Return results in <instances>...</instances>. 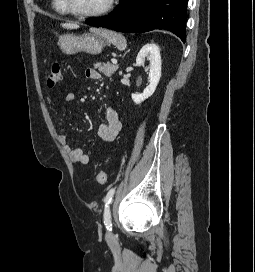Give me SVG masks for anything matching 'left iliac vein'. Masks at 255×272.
I'll return each instance as SVG.
<instances>
[{
    "mask_svg": "<svg viewBox=\"0 0 255 272\" xmlns=\"http://www.w3.org/2000/svg\"><path fill=\"white\" fill-rule=\"evenodd\" d=\"M107 236H109V237H110V236H111V234L108 232V233H107Z\"/></svg>",
    "mask_w": 255,
    "mask_h": 272,
    "instance_id": "4c4485c4",
    "label": "left iliac vein"
}]
</instances>
